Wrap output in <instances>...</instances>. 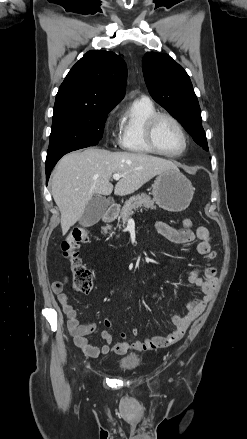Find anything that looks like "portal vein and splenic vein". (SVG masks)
Here are the masks:
<instances>
[{
    "label": "portal vein and splenic vein",
    "instance_id": "obj_1",
    "mask_svg": "<svg viewBox=\"0 0 247 439\" xmlns=\"http://www.w3.org/2000/svg\"><path fill=\"white\" fill-rule=\"evenodd\" d=\"M112 177H113L114 180H119L122 177V175H120V174H113Z\"/></svg>",
    "mask_w": 247,
    "mask_h": 439
}]
</instances>
